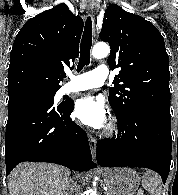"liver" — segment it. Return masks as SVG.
<instances>
[{"label": "liver", "mask_w": 178, "mask_h": 195, "mask_svg": "<svg viewBox=\"0 0 178 195\" xmlns=\"http://www.w3.org/2000/svg\"><path fill=\"white\" fill-rule=\"evenodd\" d=\"M70 170L48 163L24 162L9 178V195H68L72 180Z\"/></svg>", "instance_id": "obj_1"}]
</instances>
